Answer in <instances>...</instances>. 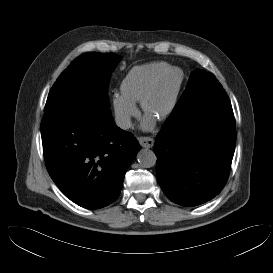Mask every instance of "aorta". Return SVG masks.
Returning a JSON list of instances; mask_svg holds the SVG:
<instances>
[{"mask_svg":"<svg viewBox=\"0 0 273 273\" xmlns=\"http://www.w3.org/2000/svg\"><path fill=\"white\" fill-rule=\"evenodd\" d=\"M156 155L152 150L141 149L137 154V161L143 168H150L156 164Z\"/></svg>","mask_w":273,"mask_h":273,"instance_id":"1","label":"aorta"}]
</instances>
